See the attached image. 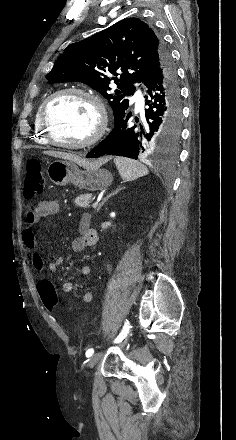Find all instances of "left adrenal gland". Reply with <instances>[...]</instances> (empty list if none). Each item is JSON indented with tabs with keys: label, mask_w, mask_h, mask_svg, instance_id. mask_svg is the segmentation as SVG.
Instances as JSON below:
<instances>
[{
	"label": "left adrenal gland",
	"mask_w": 236,
	"mask_h": 440,
	"mask_svg": "<svg viewBox=\"0 0 236 440\" xmlns=\"http://www.w3.org/2000/svg\"><path fill=\"white\" fill-rule=\"evenodd\" d=\"M125 187H119L118 189H116V191H114L113 193L107 195L106 198H104V200L99 204L98 208H97V212L101 209V207L106 203V201L112 196L117 194L120 190L124 189Z\"/></svg>",
	"instance_id": "obj_1"
}]
</instances>
